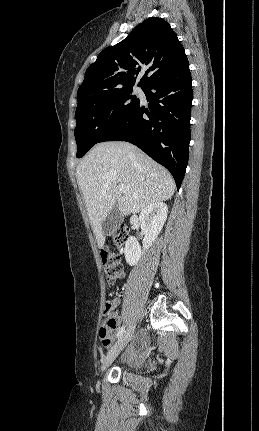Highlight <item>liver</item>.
<instances>
[{
    "label": "liver",
    "mask_w": 259,
    "mask_h": 431,
    "mask_svg": "<svg viewBox=\"0 0 259 431\" xmlns=\"http://www.w3.org/2000/svg\"><path fill=\"white\" fill-rule=\"evenodd\" d=\"M76 177L99 248L106 239L102 223L114 206L128 216L170 199L175 191L167 169L138 147L120 141L95 145L78 165ZM118 184L129 190L122 195Z\"/></svg>",
    "instance_id": "6515ba94"
}]
</instances>
